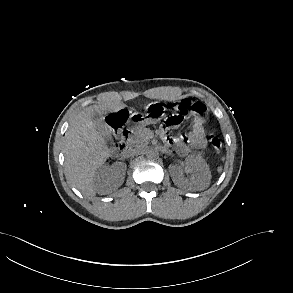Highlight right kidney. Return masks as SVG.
Masks as SVG:
<instances>
[{
	"mask_svg": "<svg viewBox=\"0 0 293 293\" xmlns=\"http://www.w3.org/2000/svg\"><path fill=\"white\" fill-rule=\"evenodd\" d=\"M126 173V165L121 162H116L113 165H104L95 175V182L98 188L108 183H115L116 186L121 185L124 181Z\"/></svg>",
	"mask_w": 293,
	"mask_h": 293,
	"instance_id": "1",
	"label": "right kidney"
}]
</instances>
